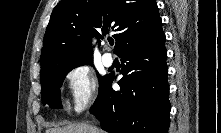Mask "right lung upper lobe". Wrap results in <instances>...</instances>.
<instances>
[{
    "mask_svg": "<svg viewBox=\"0 0 221 133\" xmlns=\"http://www.w3.org/2000/svg\"><path fill=\"white\" fill-rule=\"evenodd\" d=\"M110 31L115 52L163 34L155 0H62L54 8L41 51V71L65 62H91V37Z\"/></svg>",
    "mask_w": 221,
    "mask_h": 133,
    "instance_id": "cb5924a9",
    "label": "right lung upper lobe"
}]
</instances>
